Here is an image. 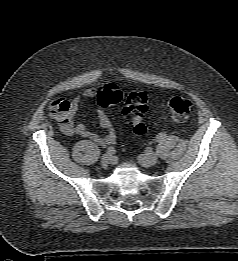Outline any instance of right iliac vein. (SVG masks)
Wrapping results in <instances>:
<instances>
[{"label": "right iliac vein", "mask_w": 238, "mask_h": 261, "mask_svg": "<svg viewBox=\"0 0 238 261\" xmlns=\"http://www.w3.org/2000/svg\"><path fill=\"white\" fill-rule=\"evenodd\" d=\"M112 162V156L110 154H104L101 159L103 166H106Z\"/></svg>", "instance_id": "obj_1"}]
</instances>
